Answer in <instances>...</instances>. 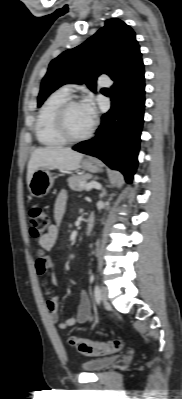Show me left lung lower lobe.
I'll return each instance as SVG.
<instances>
[{
    "mask_svg": "<svg viewBox=\"0 0 182 399\" xmlns=\"http://www.w3.org/2000/svg\"><path fill=\"white\" fill-rule=\"evenodd\" d=\"M144 89L142 62L130 74L114 81L111 87V109L101 117L96 136L73 147L119 170L128 183L132 182L138 164L145 107Z\"/></svg>",
    "mask_w": 182,
    "mask_h": 399,
    "instance_id": "0a47b994",
    "label": "left lung lower lobe"
}]
</instances>
